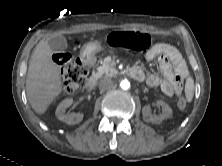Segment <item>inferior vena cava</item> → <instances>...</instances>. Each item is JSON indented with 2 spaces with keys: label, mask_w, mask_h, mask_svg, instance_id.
<instances>
[{
  "label": "inferior vena cava",
  "mask_w": 222,
  "mask_h": 166,
  "mask_svg": "<svg viewBox=\"0 0 222 166\" xmlns=\"http://www.w3.org/2000/svg\"><path fill=\"white\" fill-rule=\"evenodd\" d=\"M99 87L102 90H110L114 87V83L110 78H104L99 82Z\"/></svg>",
  "instance_id": "602c4592"
}]
</instances>
